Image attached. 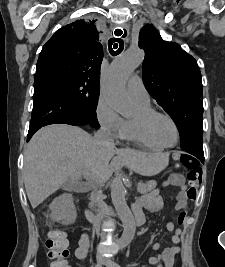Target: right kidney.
Returning a JSON list of instances; mask_svg holds the SVG:
<instances>
[{
    "instance_id": "1",
    "label": "right kidney",
    "mask_w": 225,
    "mask_h": 267,
    "mask_svg": "<svg viewBox=\"0 0 225 267\" xmlns=\"http://www.w3.org/2000/svg\"><path fill=\"white\" fill-rule=\"evenodd\" d=\"M51 218L62 224H72L76 220V209L71 194H63L54 199L49 206Z\"/></svg>"
}]
</instances>
